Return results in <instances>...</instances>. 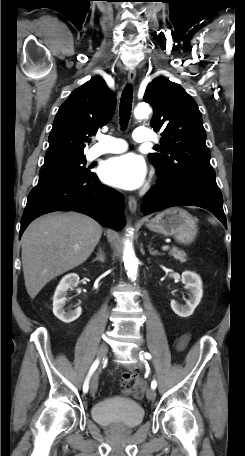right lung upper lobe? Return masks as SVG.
I'll return each mask as SVG.
<instances>
[{"label":"right lung upper lobe","mask_w":245,"mask_h":456,"mask_svg":"<svg viewBox=\"0 0 245 456\" xmlns=\"http://www.w3.org/2000/svg\"><path fill=\"white\" fill-rule=\"evenodd\" d=\"M115 105V95L100 77L75 89L54 119L42 167L85 157L83 150L89 137L111 120Z\"/></svg>","instance_id":"1"}]
</instances>
